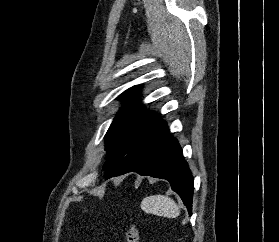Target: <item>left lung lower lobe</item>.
Wrapping results in <instances>:
<instances>
[{"label": "left lung lower lobe", "mask_w": 279, "mask_h": 242, "mask_svg": "<svg viewBox=\"0 0 279 242\" xmlns=\"http://www.w3.org/2000/svg\"><path fill=\"white\" fill-rule=\"evenodd\" d=\"M128 172L168 180L172 190L181 197L191 215L193 177L175 138L165 136L145 154L133 161L123 174Z\"/></svg>", "instance_id": "obj_1"}]
</instances>
